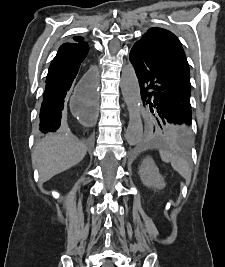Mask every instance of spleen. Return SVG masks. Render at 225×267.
<instances>
[{
    "label": "spleen",
    "mask_w": 225,
    "mask_h": 267,
    "mask_svg": "<svg viewBox=\"0 0 225 267\" xmlns=\"http://www.w3.org/2000/svg\"><path fill=\"white\" fill-rule=\"evenodd\" d=\"M159 153L163 162L170 163L172 168L185 180H191L192 170L185 159L165 149H161Z\"/></svg>",
    "instance_id": "obj_1"
}]
</instances>
